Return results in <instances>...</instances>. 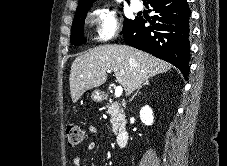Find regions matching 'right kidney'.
<instances>
[{"label":"right kidney","mask_w":227,"mask_h":166,"mask_svg":"<svg viewBox=\"0 0 227 166\" xmlns=\"http://www.w3.org/2000/svg\"><path fill=\"white\" fill-rule=\"evenodd\" d=\"M140 119L145 125H147V126L152 125L153 113H152V109L149 106L146 105L141 108Z\"/></svg>","instance_id":"obj_1"}]
</instances>
